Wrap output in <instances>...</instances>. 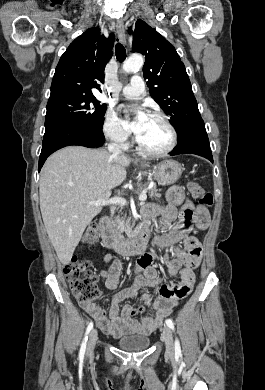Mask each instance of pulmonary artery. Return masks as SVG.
<instances>
[{
	"mask_svg": "<svg viewBox=\"0 0 265 390\" xmlns=\"http://www.w3.org/2000/svg\"><path fill=\"white\" fill-rule=\"evenodd\" d=\"M145 92V84L143 78L139 75H134L130 79V83L121 89V93L128 99H137Z\"/></svg>",
	"mask_w": 265,
	"mask_h": 390,
	"instance_id": "1",
	"label": "pulmonary artery"
}]
</instances>
